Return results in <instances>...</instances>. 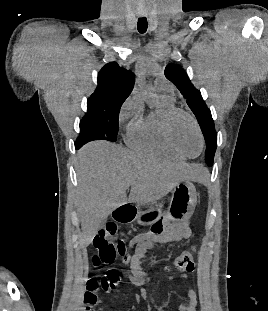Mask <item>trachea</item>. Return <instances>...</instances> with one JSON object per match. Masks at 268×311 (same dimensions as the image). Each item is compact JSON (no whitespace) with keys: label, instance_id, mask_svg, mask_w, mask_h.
I'll return each instance as SVG.
<instances>
[{"label":"trachea","instance_id":"3493384b","mask_svg":"<svg viewBox=\"0 0 268 311\" xmlns=\"http://www.w3.org/2000/svg\"><path fill=\"white\" fill-rule=\"evenodd\" d=\"M147 27L148 23L146 17H140L137 23L139 33L144 34L147 31Z\"/></svg>","mask_w":268,"mask_h":311}]
</instances>
